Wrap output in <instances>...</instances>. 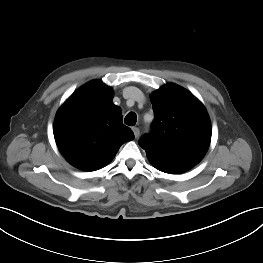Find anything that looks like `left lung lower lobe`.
I'll use <instances>...</instances> for the list:
<instances>
[{
	"label": "left lung lower lobe",
	"mask_w": 263,
	"mask_h": 263,
	"mask_svg": "<svg viewBox=\"0 0 263 263\" xmlns=\"http://www.w3.org/2000/svg\"><path fill=\"white\" fill-rule=\"evenodd\" d=\"M147 158L155 168H157L160 171L171 173V174L185 172L193 167L191 165H186V164H178V163H170L166 161H161L154 157L147 156Z\"/></svg>",
	"instance_id": "obj_1"
}]
</instances>
